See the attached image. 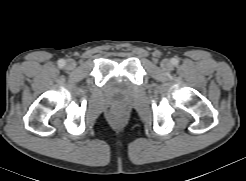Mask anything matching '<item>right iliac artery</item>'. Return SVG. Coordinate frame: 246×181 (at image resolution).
<instances>
[{"mask_svg":"<svg viewBox=\"0 0 246 181\" xmlns=\"http://www.w3.org/2000/svg\"><path fill=\"white\" fill-rule=\"evenodd\" d=\"M58 65H59L60 67H63V66L65 65V61H64L63 59L59 60V61H58Z\"/></svg>","mask_w":246,"mask_h":181,"instance_id":"1","label":"right iliac artery"}]
</instances>
